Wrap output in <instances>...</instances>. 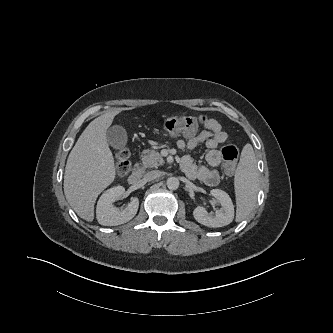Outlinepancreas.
<instances>
[{
  "label": "pancreas",
  "mask_w": 333,
  "mask_h": 333,
  "mask_svg": "<svg viewBox=\"0 0 333 333\" xmlns=\"http://www.w3.org/2000/svg\"><path fill=\"white\" fill-rule=\"evenodd\" d=\"M144 168H158L164 164L161 154L155 150H144L142 154Z\"/></svg>",
  "instance_id": "pancreas-1"
}]
</instances>
